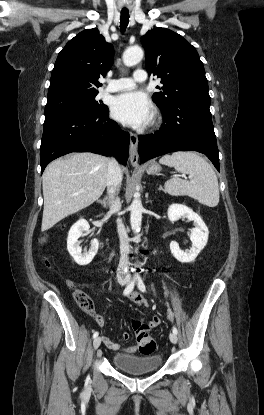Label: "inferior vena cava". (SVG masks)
Returning <instances> with one entry per match:
<instances>
[{"mask_svg": "<svg viewBox=\"0 0 264 415\" xmlns=\"http://www.w3.org/2000/svg\"><path fill=\"white\" fill-rule=\"evenodd\" d=\"M122 181V172L118 162L115 159H110L108 164V177H107V192H108V204L110 211L113 213L119 212L121 209L120 199L116 196L119 192ZM117 230L120 239V261L117 269V274L120 276L128 274V254H129V238L122 220H117Z\"/></svg>", "mask_w": 264, "mask_h": 415, "instance_id": "602c4592", "label": "inferior vena cava"}]
</instances>
